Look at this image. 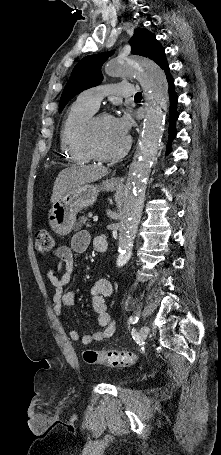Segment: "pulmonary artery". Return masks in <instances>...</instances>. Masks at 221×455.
<instances>
[{"label": "pulmonary artery", "instance_id": "obj_1", "mask_svg": "<svg viewBox=\"0 0 221 455\" xmlns=\"http://www.w3.org/2000/svg\"><path fill=\"white\" fill-rule=\"evenodd\" d=\"M108 94L131 96L135 94V88L130 83L98 85L86 89L79 97L83 102L96 110L98 109L101 100Z\"/></svg>", "mask_w": 221, "mask_h": 455}]
</instances>
